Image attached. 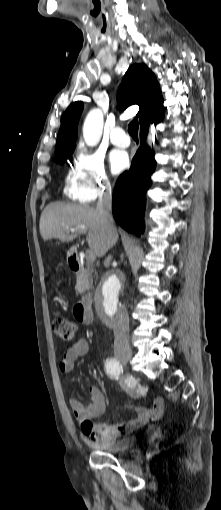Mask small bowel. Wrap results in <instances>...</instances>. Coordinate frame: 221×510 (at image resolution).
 <instances>
[{
  "instance_id": "c3829d8e",
  "label": "small bowel",
  "mask_w": 221,
  "mask_h": 510,
  "mask_svg": "<svg viewBox=\"0 0 221 510\" xmlns=\"http://www.w3.org/2000/svg\"><path fill=\"white\" fill-rule=\"evenodd\" d=\"M88 351V343L85 339H78L68 349L65 350L59 360V370L63 374H69L73 371L76 360L85 355ZM131 396H135L137 390L127 388ZM89 403L83 404L77 398L71 397L68 400L69 406L79 421L83 434L92 440L98 442H111L117 440L132 430H135L150 420L159 418L164 412V399L156 397L151 407L138 405H126V409L132 411L135 415L126 423H104L93 422L92 419L102 416L106 411V401L104 394L97 386L88 388Z\"/></svg>"
}]
</instances>
